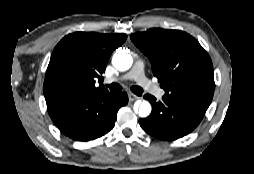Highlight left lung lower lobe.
<instances>
[{
    "label": "left lung lower lobe",
    "instance_id": "1",
    "mask_svg": "<svg viewBox=\"0 0 254 174\" xmlns=\"http://www.w3.org/2000/svg\"><path fill=\"white\" fill-rule=\"evenodd\" d=\"M145 99L152 104L151 115L140 119V126L161 140H176L192 132L203 119L206 108L188 102L172 101L166 97L157 102L151 95Z\"/></svg>",
    "mask_w": 254,
    "mask_h": 174
}]
</instances>
